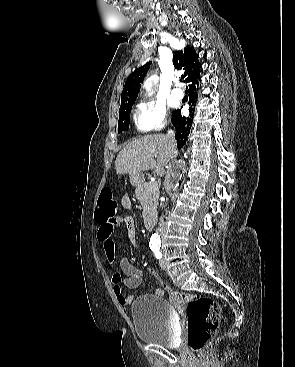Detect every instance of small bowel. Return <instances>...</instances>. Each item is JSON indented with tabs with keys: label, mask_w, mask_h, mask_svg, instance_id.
Here are the masks:
<instances>
[{
	"label": "small bowel",
	"mask_w": 295,
	"mask_h": 367,
	"mask_svg": "<svg viewBox=\"0 0 295 367\" xmlns=\"http://www.w3.org/2000/svg\"><path fill=\"white\" fill-rule=\"evenodd\" d=\"M122 206L126 209H129L131 207V201L127 195H125L122 199ZM121 223L125 224L129 239L134 245H136L137 229L133 217H116L109 222H98L99 228L97 232V239L104 249L106 260L109 264H113L115 261V244L112 238V234L117 225ZM119 268L121 272L116 271L111 276L113 292L116 296L118 303L123 307H127L133 302L135 294L132 293L129 295H125L123 292V288H126L128 290L137 289L142 283L143 272L125 257L119 260ZM156 294H162V290L157 289Z\"/></svg>",
	"instance_id": "c3829d8e"
}]
</instances>
